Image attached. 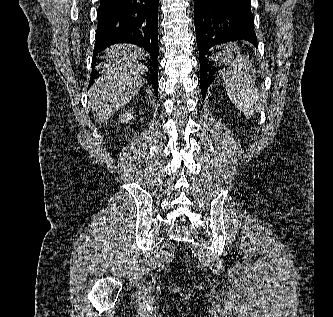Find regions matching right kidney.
Masks as SVG:
<instances>
[{
    "label": "right kidney",
    "instance_id": "ca27d5eb",
    "mask_svg": "<svg viewBox=\"0 0 333 317\" xmlns=\"http://www.w3.org/2000/svg\"><path fill=\"white\" fill-rule=\"evenodd\" d=\"M133 118V114L131 112H127L121 118V123H127Z\"/></svg>",
    "mask_w": 333,
    "mask_h": 317
}]
</instances>
